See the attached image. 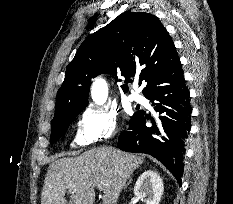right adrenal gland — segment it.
<instances>
[{
	"label": "right adrenal gland",
	"mask_w": 233,
	"mask_h": 204,
	"mask_svg": "<svg viewBox=\"0 0 233 204\" xmlns=\"http://www.w3.org/2000/svg\"><path fill=\"white\" fill-rule=\"evenodd\" d=\"M131 181H132V178L129 179V182L125 185V187H126L127 185H129V184L131 183Z\"/></svg>",
	"instance_id": "2a0ac1e0"
}]
</instances>
